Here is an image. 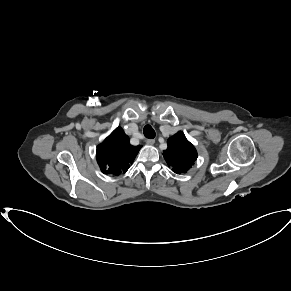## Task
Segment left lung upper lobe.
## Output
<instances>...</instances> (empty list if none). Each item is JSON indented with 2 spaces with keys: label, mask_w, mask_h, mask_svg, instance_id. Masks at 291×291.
<instances>
[{
  "label": "left lung upper lobe",
  "mask_w": 291,
  "mask_h": 291,
  "mask_svg": "<svg viewBox=\"0 0 291 291\" xmlns=\"http://www.w3.org/2000/svg\"><path fill=\"white\" fill-rule=\"evenodd\" d=\"M167 144V150L163 151L166 162L172 166L173 172L177 174L186 173L197 159L196 149L182 132H178L169 138Z\"/></svg>",
  "instance_id": "1"
}]
</instances>
